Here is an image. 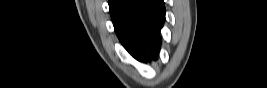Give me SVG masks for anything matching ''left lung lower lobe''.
Segmentation results:
<instances>
[{
	"label": "left lung lower lobe",
	"instance_id": "0a47b994",
	"mask_svg": "<svg viewBox=\"0 0 267 88\" xmlns=\"http://www.w3.org/2000/svg\"><path fill=\"white\" fill-rule=\"evenodd\" d=\"M109 8L115 32L126 50L140 61L155 59L165 20L163 0H109Z\"/></svg>",
	"mask_w": 267,
	"mask_h": 88
}]
</instances>
